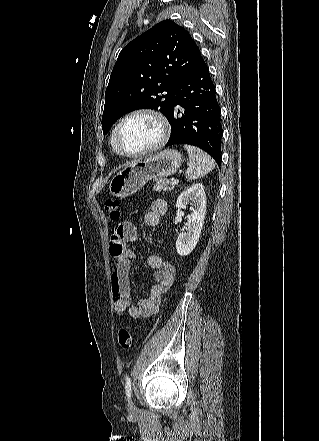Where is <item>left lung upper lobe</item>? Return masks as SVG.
I'll list each match as a JSON object with an SVG mask.
<instances>
[{
    "instance_id": "obj_1",
    "label": "left lung upper lobe",
    "mask_w": 319,
    "mask_h": 441,
    "mask_svg": "<svg viewBox=\"0 0 319 441\" xmlns=\"http://www.w3.org/2000/svg\"><path fill=\"white\" fill-rule=\"evenodd\" d=\"M201 58L191 35L164 20L128 43L120 52L105 92L103 133L124 114L156 109L168 119L175 91Z\"/></svg>"
}]
</instances>
